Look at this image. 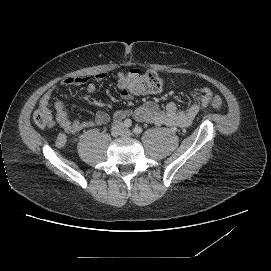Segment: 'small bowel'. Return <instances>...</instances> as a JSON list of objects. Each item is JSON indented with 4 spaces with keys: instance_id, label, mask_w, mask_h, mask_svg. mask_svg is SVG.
Here are the masks:
<instances>
[{
    "instance_id": "c3829d8e",
    "label": "small bowel",
    "mask_w": 271,
    "mask_h": 271,
    "mask_svg": "<svg viewBox=\"0 0 271 271\" xmlns=\"http://www.w3.org/2000/svg\"><path fill=\"white\" fill-rule=\"evenodd\" d=\"M124 76V73H119V81L123 79ZM105 78L106 74L103 72L96 74L93 78L82 76L68 77L61 82V86L69 87L85 85L86 93L92 94L96 90V83L103 81ZM211 94L209 89H204L199 93H189V105L184 109H181L175 102H170L165 108H160L155 102H147L134 111L116 110L113 117L116 120H120L127 116H132L137 121L152 123L158 126L187 127L193 122L198 113L209 105ZM121 95L126 100L132 98V95L124 90L121 91ZM55 97L56 90L55 88H52L47 91L40 100L39 108L45 110L49 115L51 120L50 125L52 124V117L47 107ZM54 106L57 111V121L65 133H77L92 126L103 125L110 119L108 113L99 111L92 120H71L68 117V113L66 112L62 101L56 100ZM65 140V134H59L56 144L62 146L65 143Z\"/></svg>"
}]
</instances>
